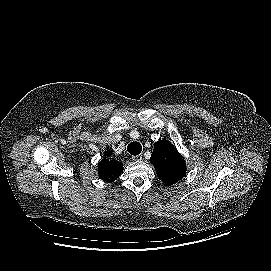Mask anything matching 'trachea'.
<instances>
[{
	"mask_svg": "<svg viewBox=\"0 0 271 271\" xmlns=\"http://www.w3.org/2000/svg\"><path fill=\"white\" fill-rule=\"evenodd\" d=\"M127 151L131 154V155H139L142 151V146L139 142H131L128 146H127Z\"/></svg>",
	"mask_w": 271,
	"mask_h": 271,
	"instance_id": "1",
	"label": "trachea"
}]
</instances>
